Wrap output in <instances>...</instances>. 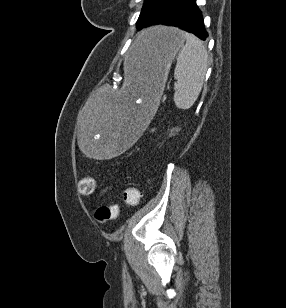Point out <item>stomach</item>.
I'll return each mask as SVG.
<instances>
[{
	"label": "stomach",
	"mask_w": 286,
	"mask_h": 308,
	"mask_svg": "<svg viewBox=\"0 0 286 308\" xmlns=\"http://www.w3.org/2000/svg\"><path fill=\"white\" fill-rule=\"evenodd\" d=\"M184 32L157 26L143 32L124 55L126 86L120 91H96L86 100V112L77 125L78 147L84 159H114L131 144H140L137 132L148 125L149 107H157L171 63L184 45Z\"/></svg>",
	"instance_id": "0dacf381"
}]
</instances>
